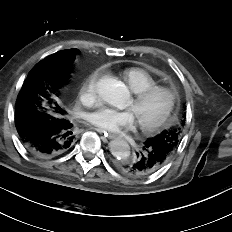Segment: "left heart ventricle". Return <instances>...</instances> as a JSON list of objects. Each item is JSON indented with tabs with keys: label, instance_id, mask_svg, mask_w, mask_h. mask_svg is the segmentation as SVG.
I'll use <instances>...</instances> for the list:
<instances>
[{
	"label": "left heart ventricle",
	"instance_id": "left-heart-ventricle-1",
	"mask_svg": "<svg viewBox=\"0 0 232 232\" xmlns=\"http://www.w3.org/2000/svg\"><path fill=\"white\" fill-rule=\"evenodd\" d=\"M166 105L167 96L164 93H158L137 105L131 101L128 108L135 116L137 122L148 123L157 119L164 112Z\"/></svg>",
	"mask_w": 232,
	"mask_h": 232
}]
</instances>
